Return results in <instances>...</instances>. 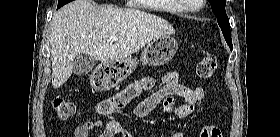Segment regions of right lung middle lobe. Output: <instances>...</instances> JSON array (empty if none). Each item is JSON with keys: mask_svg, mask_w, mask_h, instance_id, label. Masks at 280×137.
Segmentation results:
<instances>
[{"mask_svg": "<svg viewBox=\"0 0 280 137\" xmlns=\"http://www.w3.org/2000/svg\"><path fill=\"white\" fill-rule=\"evenodd\" d=\"M72 0H58V7L57 8H60L62 7L63 5L71 2Z\"/></svg>", "mask_w": 280, "mask_h": 137, "instance_id": "1", "label": "right lung middle lobe"}]
</instances>
